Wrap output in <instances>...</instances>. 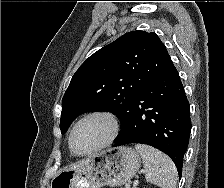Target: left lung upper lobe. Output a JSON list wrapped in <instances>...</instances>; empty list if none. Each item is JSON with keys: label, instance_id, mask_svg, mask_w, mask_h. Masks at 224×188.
Returning a JSON list of instances; mask_svg holds the SVG:
<instances>
[{"label": "left lung upper lobe", "instance_id": "left-lung-upper-lobe-1", "mask_svg": "<svg viewBox=\"0 0 224 188\" xmlns=\"http://www.w3.org/2000/svg\"><path fill=\"white\" fill-rule=\"evenodd\" d=\"M156 33L132 31L91 55L75 72L62 99L60 119L64 134L82 113H114L124 128L141 90L172 66Z\"/></svg>", "mask_w": 224, "mask_h": 188}]
</instances>
